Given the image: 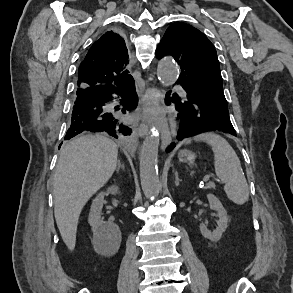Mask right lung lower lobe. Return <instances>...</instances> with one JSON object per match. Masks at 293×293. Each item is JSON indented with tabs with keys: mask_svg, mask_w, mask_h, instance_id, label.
I'll list each match as a JSON object with an SVG mask.
<instances>
[{
	"mask_svg": "<svg viewBox=\"0 0 293 293\" xmlns=\"http://www.w3.org/2000/svg\"><path fill=\"white\" fill-rule=\"evenodd\" d=\"M116 98H119L122 106L111 108L109 105ZM137 102L133 79L121 86L78 88L65 140L85 131L106 132L115 138L130 135L132 130L121 122L119 113L135 108Z\"/></svg>",
	"mask_w": 293,
	"mask_h": 293,
	"instance_id": "obj_1",
	"label": "right lung lower lobe"
}]
</instances>
